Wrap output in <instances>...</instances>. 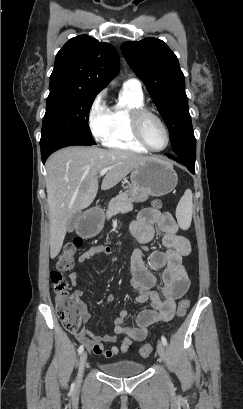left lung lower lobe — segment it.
Segmentation results:
<instances>
[{
  "instance_id": "left-lung-lower-lobe-1",
  "label": "left lung lower lobe",
  "mask_w": 243,
  "mask_h": 409,
  "mask_svg": "<svg viewBox=\"0 0 243 409\" xmlns=\"http://www.w3.org/2000/svg\"><path fill=\"white\" fill-rule=\"evenodd\" d=\"M165 155L168 156L169 158L177 161V162H180V163L184 164L191 173H195V162H190V161L184 160L182 158H179L176 155L175 156L170 155V154H165Z\"/></svg>"
}]
</instances>
